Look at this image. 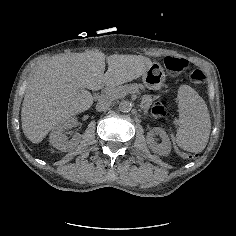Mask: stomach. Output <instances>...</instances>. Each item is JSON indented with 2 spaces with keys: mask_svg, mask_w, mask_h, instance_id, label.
Instances as JSON below:
<instances>
[{
  "mask_svg": "<svg viewBox=\"0 0 236 236\" xmlns=\"http://www.w3.org/2000/svg\"><path fill=\"white\" fill-rule=\"evenodd\" d=\"M142 81L145 87L151 90L160 89L165 82V73L160 65H152L143 75Z\"/></svg>",
  "mask_w": 236,
  "mask_h": 236,
  "instance_id": "obj_1",
  "label": "stomach"
}]
</instances>
